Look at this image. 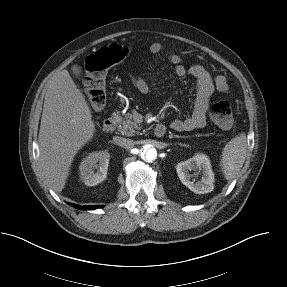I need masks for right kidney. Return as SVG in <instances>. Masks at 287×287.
<instances>
[{"label": "right kidney", "instance_id": "ca27d5eb", "mask_svg": "<svg viewBox=\"0 0 287 287\" xmlns=\"http://www.w3.org/2000/svg\"><path fill=\"white\" fill-rule=\"evenodd\" d=\"M109 160L110 154L107 151L89 153L79 166L81 180L87 186H95L104 181L107 176ZM95 169H97L96 172Z\"/></svg>", "mask_w": 287, "mask_h": 287}]
</instances>
